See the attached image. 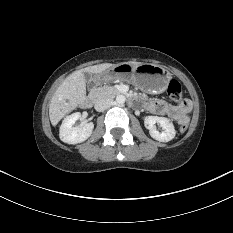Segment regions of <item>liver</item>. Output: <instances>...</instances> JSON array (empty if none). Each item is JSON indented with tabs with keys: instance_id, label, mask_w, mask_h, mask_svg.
<instances>
[{
	"instance_id": "6515ba94",
	"label": "liver",
	"mask_w": 233,
	"mask_h": 233,
	"mask_svg": "<svg viewBox=\"0 0 233 233\" xmlns=\"http://www.w3.org/2000/svg\"><path fill=\"white\" fill-rule=\"evenodd\" d=\"M140 63H136L138 65ZM111 63H103L86 67L70 74L57 88L49 104V117L51 124L56 126L58 122L69 112L77 108L86 99V80L84 72L90 74L100 73L110 67Z\"/></svg>"
}]
</instances>
